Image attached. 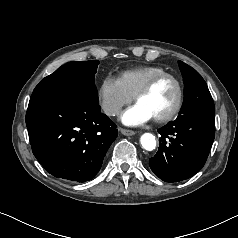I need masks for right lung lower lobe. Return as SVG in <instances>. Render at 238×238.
Here are the masks:
<instances>
[{
    "instance_id": "1",
    "label": "right lung lower lobe",
    "mask_w": 238,
    "mask_h": 238,
    "mask_svg": "<svg viewBox=\"0 0 238 238\" xmlns=\"http://www.w3.org/2000/svg\"><path fill=\"white\" fill-rule=\"evenodd\" d=\"M98 102L77 93L32 95L26 125L33 154L53 176L85 182L117 137Z\"/></svg>"
}]
</instances>
